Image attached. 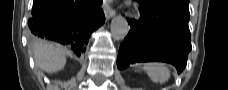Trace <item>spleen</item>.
<instances>
[{"mask_svg": "<svg viewBox=\"0 0 228 90\" xmlns=\"http://www.w3.org/2000/svg\"><path fill=\"white\" fill-rule=\"evenodd\" d=\"M144 69L155 83H164L170 78V71L164 63L150 62L144 65Z\"/></svg>", "mask_w": 228, "mask_h": 90, "instance_id": "3e777b00", "label": "spleen"}]
</instances>
